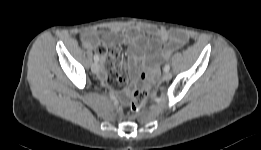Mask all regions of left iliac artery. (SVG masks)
Here are the masks:
<instances>
[{"label":"left iliac artery","instance_id":"1","mask_svg":"<svg viewBox=\"0 0 261 150\" xmlns=\"http://www.w3.org/2000/svg\"><path fill=\"white\" fill-rule=\"evenodd\" d=\"M169 70H170V66L168 64H166L165 67H164V71L167 72Z\"/></svg>","mask_w":261,"mask_h":150}]
</instances>
